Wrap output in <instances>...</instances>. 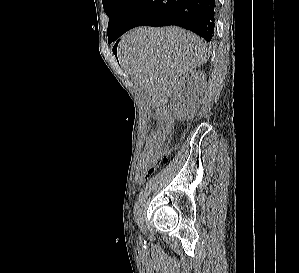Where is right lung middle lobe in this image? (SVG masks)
<instances>
[{"instance_id": "1", "label": "right lung middle lobe", "mask_w": 299, "mask_h": 273, "mask_svg": "<svg viewBox=\"0 0 299 273\" xmlns=\"http://www.w3.org/2000/svg\"><path fill=\"white\" fill-rule=\"evenodd\" d=\"M134 0H102L105 13L109 17L108 43H111L118 32Z\"/></svg>"}]
</instances>
